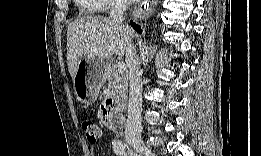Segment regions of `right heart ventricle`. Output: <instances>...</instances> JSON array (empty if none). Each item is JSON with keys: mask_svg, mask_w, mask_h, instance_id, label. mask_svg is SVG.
<instances>
[{"mask_svg": "<svg viewBox=\"0 0 261 156\" xmlns=\"http://www.w3.org/2000/svg\"><path fill=\"white\" fill-rule=\"evenodd\" d=\"M78 3L87 9H94V5H95L96 1L95 0H81Z\"/></svg>", "mask_w": 261, "mask_h": 156, "instance_id": "e07e8e85", "label": "right heart ventricle"}]
</instances>
